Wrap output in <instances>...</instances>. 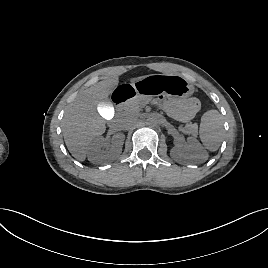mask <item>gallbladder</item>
Segmentation results:
<instances>
[{
  "label": "gallbladder",
  "mask_w": 268,
  "mask_h": 268,
  "mask_svg": "<svg viewBox=\"0 0 268 268\" xmlns=\"http://www.w3.org/2000/svg\"><path fill=\"white\" fill-rule=\"evenodd\" d=\"M98 112L100 113L101 117L105 119H112L115 116V109L114 107L106 101H101L98 104Z\"/></svg>",
  "instance_id": "obj_1"
}]
</instances>
